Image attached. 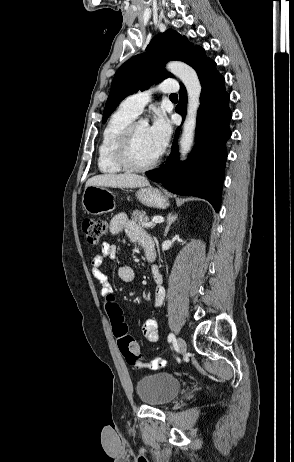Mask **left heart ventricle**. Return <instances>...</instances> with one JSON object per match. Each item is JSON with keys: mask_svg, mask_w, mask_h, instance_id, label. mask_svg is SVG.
I'll list each match as a JSON object with an SVG mask.
<instances>
[{"mask_svg": "<svg viewBox=\"0 0 294 462\" xmlns=\"http://www.w3.org/2000/svg\"><path fill=\"white\" fill-rule=\"evenodd\" d=\"M156 147L150 137L148 127L140 124L133 137L132 159L137 164H146L158 156Z\"/></svg>", "mask_w": 294, "mask_h": 462, "instance_id": "b2bd125f", "label": "left heart ventricle"}]
</instances>
